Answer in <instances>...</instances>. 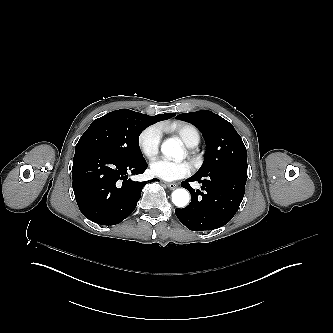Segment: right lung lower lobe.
Here are the masks:
<instances>
[{"instance_id": "obj_1", "label": "right lung lower lobe", "mask_w": 333, "mask_h": 333, "mask_svg": "<svg viewBox=\"0 0 333 333\" xmlns=\"http://www.w3.org/2000/svg\"><path fill=\"white\" fill-rule=\"evenodd\" d=\"M146 168L145 159L128 162L97 147H76L72 187L81 213L101 225L122 222L134 211L146 184L128 175L142 174Z\"/></svg>"}]
</instances>
